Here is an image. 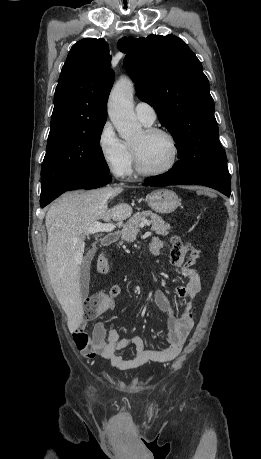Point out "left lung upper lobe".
<instances>
[{"label": "left lung upper lobe", "instance_id": "left-lung-upper-lobe-1", "mask_svg": "<svg viewBox=\"0 0 261 459\" xmlns=\"http://www.w3.org/2000/svg\"><path fill=\"white\" fill-rule=\"evenodd\" d=\"M124 50L139 99L154 107L176 142L180 160L172 169L187 174L226 163L209 82L187 44L173 35H150L129 39Z\"/></svg>", "mask_w": 261, "mask_h": 459}]
</instances>
